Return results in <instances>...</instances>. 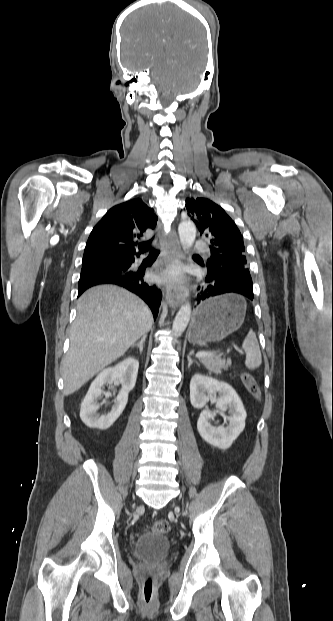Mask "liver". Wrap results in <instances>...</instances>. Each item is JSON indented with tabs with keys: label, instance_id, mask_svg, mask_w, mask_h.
<instances>
[{
	"label": "liver",
	"instance_id": "1",
	"mask_svg": "<svg viewBox=\"0 0 333 621\" xmlns=\"http://www.w3.org/2000/svg\"><path fill=\"white\" fill-rule=\"evenodd\" d=\"M152 323L148 306L122 288L100 285L84 292L63 359L64 394L74 393L122 356Z\"/></svg>",
	"mask_w": 333,
	"mask_h": 621
}]
</instances>
